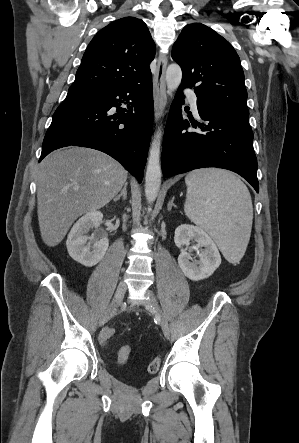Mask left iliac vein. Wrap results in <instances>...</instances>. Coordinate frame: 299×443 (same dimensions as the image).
Masks as SVG:
<instances>
[{
	"mask_svg": "<svg viewBox=\"0 0 299 443\" xmlns=\"http://www.w3.org/2000/svg\"><path fill=\"white\" fill-rule=\"evenodd\" d=\"M150 300L145 303V307L147 310H150L157 314L160 320V325L163 331V334L166 338H169L170 336V327L168 320L162 311L161 307L159 306L156 298L149 292Z\"/></svg>",
	"mask_w": 299,
	"mask_h": 443,
	"instance_id": "4c4485c4",
	"label": "left iliac vein"
}]
</instances>
